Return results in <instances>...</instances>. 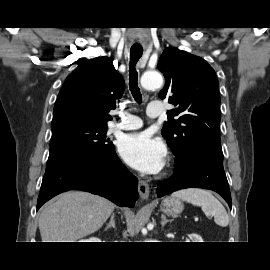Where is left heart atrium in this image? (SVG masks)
<instances>
[{
	"label": "left heart atrium",
	"mask_w": 270,
	"mask_h": 270,
	"mask_svg": "<svg viewBox=\"0 0 270 270\" xmlns=\"http://www.w3.org/2000/svg\"><path fill=\"white\" fill-rule=\"evenodd\" d=\"M119 153L132 168L148 174L160 172L165 164V145L146 132L124 136L119 142Z\"/></svg>",
	"instance_id": "left-heart-atrium-1"
}]
</instances>
